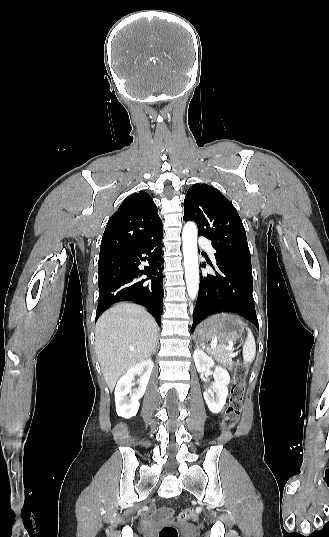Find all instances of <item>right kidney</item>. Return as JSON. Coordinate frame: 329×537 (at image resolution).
Returning <instances> with one entry per match:
<instances>
[{
	"label": "right kidney",
	"instance_id": "right-kidney-1",
	"mask_svg": "<svg viewBox=\"0 0 329 537\" xmlns=\"http://www.w3.org/2000/svg\"><path fill=\"white\" fill-rule=\"evenodd\" d=\"M153 361L147 359L130 368L117 382L115 404L118 416L129 419L138 412L140 398L144 395L153 369ZM141 375L139 387L132 389L135 375ZM129 394V395H128Z\"/></svg>",
	"mask_w": 329,
	"mask_h": 537
}]
</instances>
